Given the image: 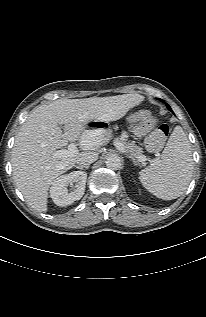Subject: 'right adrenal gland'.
I'll use <instances>...</instances> for the list:
<instances>
[{
  "label": "right adrenal gland",
  "mask_w": 206,
  "mask_h": 317,
  "mask_svg": "<svg viewBox=\"0 0 206 317\" xmlns=\"http://www.w3.org/2000/svg\"><path fill=\"white\" fill-rule=\"evenodd\" d=\"M75 167L78 168V169H88V168H89V165L84 166V167H79V166H75Z\"/></svg>",
  "instance_id": "2a0ac1e0"
}]
</instances>
